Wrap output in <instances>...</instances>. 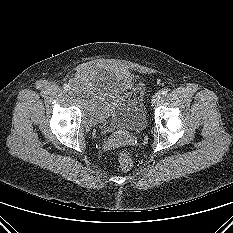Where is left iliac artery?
<instances>
[{
    "instance_id": "obj_1",
    "label": "left iliac artery",
    "mask_w": 233,
    "mask_h": 233,
    "mask_svg": "<svg viewBox=\"0 0 233 233\" xmlns=\"http://www.w3.org/2000/svg\"><path fill=\"white\" fill-rule=\"evenodd\" d=\"M168 93V90L167 89H162L161 93L163 96L167 95Z\"/></svg>"
}]
</instances>
